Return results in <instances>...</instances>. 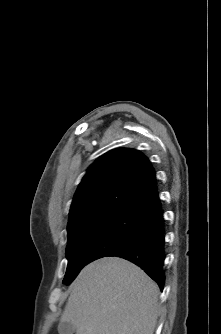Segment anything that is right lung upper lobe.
Listing matches in <instances>:
<instances>
[{"instance_id": "cb5924a9", "label": "right lung upper lobe", "mask_w": 221, "mask_h": 334, "mask_svg": "<svg viewBox=\"0 0 221 334\" xmlns=\"http://www.w3.org/2000/svg\"><path fill=\"white\" fill-rule=\"evenodd\" d=\"M158 200L155 171L148 158L134 149H115L99 157L83 177L67 230L104 213L143 216Z\"/></svg>"}]
</instances>
